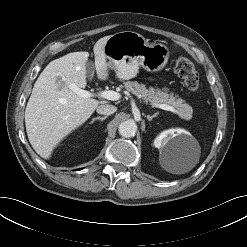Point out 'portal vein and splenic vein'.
Returning a JSON list of instances; mask_svg holds the SVG:
<instances>
[{
    "instance_id": "obj_1",
    "label": "portal vein and splenic vein",
    "mask_w": 247,
    "mask_h": 247,
    "mask_svg": "<svg viewBox=\"0 0 247 247\" xmlns=\"http://www.w3.org/2000/svg\"><path fill=\"white\" fill-rule=\"evenodd\" d=\"M69 88L73 90L78 96L83 97V98H91L94 96H98L100 98H105L111 101H116L121 98V95L119 93L112 91V90H103V91L98 92L97 94H94L89 91L83 90L74 84H70ZM154 106L157 108L166 110V111L177 113V110L173 106H170L167 104H155Z\"/></svg>"
}]
</instances>
